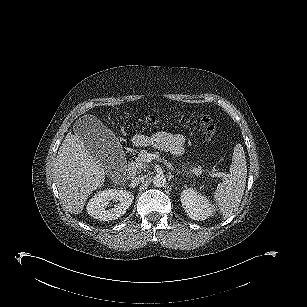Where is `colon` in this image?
Here are the masks:
<instances>
[{
    "label": "colon",
    "instance_id": "5ec220e1",
    "mask_svg": "<svg viewBox=\"0 0 307 307\" xmlns=\"http://www.w3.org/2000/svg\"><path fill=\"white\" fill-rule=\"evenodd\" d=\"M201 125L205 130V133L207 136L211 137L216 130V126L213 122V120L208 116V115H204L201 117ZM151 122L155 123L156 119L154 117L151 118Z\"/></svg>",
    "mask_w": 307,
    "mask_h": 307
}]
</instances>
